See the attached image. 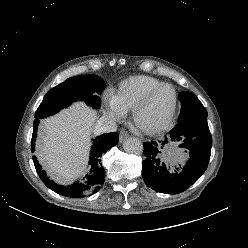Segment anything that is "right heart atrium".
<instances>
[{
  "instance_id": "d8ad5b80",
  "label": "right heart atrium",
  "mask_w": 248,
  "mask_h": 248,
  "mask_svg": "<svg viewBox=\"0 0 248 248\" xmlns=\"http://www.w3.org/2000/svg\"><path fill=\"white\" fill-rule=\"evenodd\" d=\"M106 114L115 121L123 119L125 112L116 103L113 95H107L105 98Z\"/></svg>"
}]
</instances>
